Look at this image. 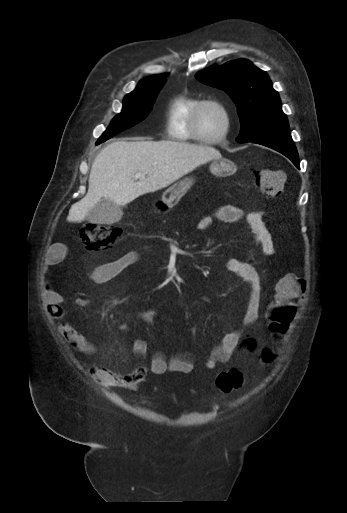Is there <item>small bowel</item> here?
Returning a JSON list of instances; mask_svg holds the SVG:
<instances>
[{"instance_id":"obj_1","label":"small bowel","mask_w":347,"mask_h":513,"mask_svg":"<svg viewBox=\"0 0 347 513\" xmlns=\"http://www.w3.org/2000/svg\"><path fill=\"white\" fill-rule=\"evenodd\" d=\"M215 222L247 225L253 234L254 249L246 260L235 259L226 264L227 270L243 275L248 286V301L241 325L222 335L219 342L209 351L204 362L207 369H214L218 364L229 362L242 344H248L252 341L245 328L253 324L259 314L260 286L255 267L259 263L260 256H270L274 253L273 241L261 213H244L237 207L224 205L203 216L199 220L197 228L208 230ZM62 254L63 245L56 243L51 246L44 259L40 278L43 298L51 315L60 320L58 328L66 339L81 353L92 355L94 353L93 345L84 335L64 320L65 310L62 306L64 298L59 291L52 287L50 281V268L61 262ZM140 261L141 254L138 251H130L112 262L96 267L91 274L92 280L96 284L106 283ZM76 303L84 307L86 300L78 299ZM156 316V310H149L142 315V318L148 323H153ZM147 349V342L143 339H135L132 343V351L139 358L146 356ZM261 362L263 364L264 361ZM193 368L194 363L187 355L167 356L162 352H157L153 354L148 368L144 365H138L127 375H118L107 368H92L91 375L93 379L110 387L136 389L148 370L161 375L166 372L189 373Z\"/></svg>"}]
</instances>
